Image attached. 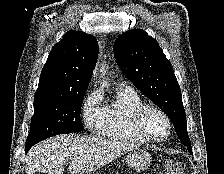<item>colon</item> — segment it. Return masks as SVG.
<instances>
[{
	"instance_id": "1",
	"label": "colon",
	"mask_w": 224,
	"mask_h": 174,
	"mask_svg": "<svg viewBox=\"0 0 224 174\" xmlns=\"http://www.w3.org/2000/svg\"><path fill=\"white\" fill-rule=\"evenodd\" d=\"M185 165L178 160H169L165 165L166 174H184Z\"/></svg>"
}]
</instances>
